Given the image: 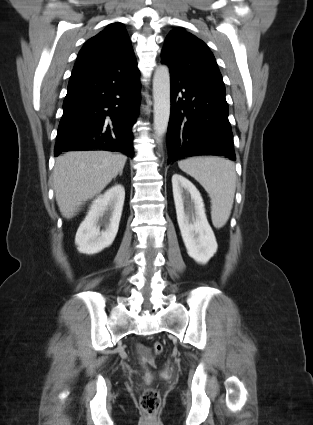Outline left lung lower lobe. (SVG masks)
I'll return each instance as SVG.
<instances>
[{
  "label": "left lung lower lobe",
  "instance_id": "obj_1",
  "mask_svg": "<svg viewBox=\"0 0 313 425\" xmlns=\"http://www.w3.org/2000/svg\"><path fill=\"white\" fill-rule=\"evenodd\" d=\"M168 162L197 155L236 160L225 87L191 80L170 70Z\"/></svg>",
  "mask_w": 313,
  "mask_h": 425
}]
</instances>
